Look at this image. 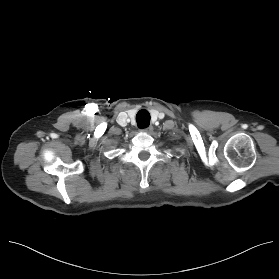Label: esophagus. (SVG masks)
<instances>
[{"label":"esophagus","mask_w":279,"mask_h":279,"mask_svg":"<svg viewBox=\"0 0 279 279\" xmlns=\"http://www.w3.org/2000/svg\"><path fill=\"white\" fill-rule=\"evenodd\" d=\"M142 132H145V133H150L153 131V126H149V127H146V128H143L141 129Z\"/></svg>","instance_id":"34e87169"}]
</instances>
